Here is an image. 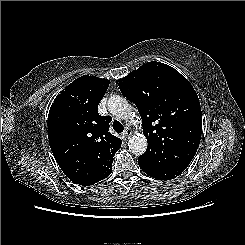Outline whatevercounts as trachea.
<instances>
[{"mask_svg":"<svg viewBox=\"0 0 245 245\" xmlns=\"http://www.w3.org/2000/svg\"><path fill=\"white\" fill-rule=\"evenodd\" d=\"M113 129L117 131L118 133L123 132L124 127L119 121H114L113 122Z\"/></svg>","mask_w":245,"mask_h":245,"instance_id":"3493384b","label":"trachea"}]
</instances>
